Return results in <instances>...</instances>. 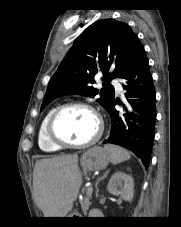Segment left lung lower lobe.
I'll return each mask as SVG.
<instances>
[{"mask_svg":"<svg viewBox=\"0 0 181 227\" xmlns=\"http://www.w3.org/2000/svg\"><path fill=\"white\" fill-rule=\"evenodd\" d=\"M119 78L124 79L126 104L113 101L106 109L111 117L110 136L103 143L123 146L134 152L147 168L155 136L156 93L149 62L141 43L135 48ZM123 106L118 113L115 104Z\"/></svg>","mask_w":181,"mask_h":227,"instance_id":"left-lung-lower-lobe-1","label":"left lung lower lobe"}]
</instances>
